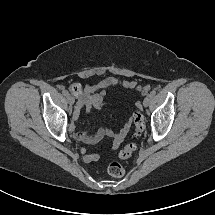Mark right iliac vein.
I'll list each match as a JSON object with an SVG mask.
<instances>
[{
	"mask_svg": "<svg viewBox=\"0 0 215 215\" xmlns=\"http://www.w3.org/2000/svg\"><path fill=\"white\" fill-rule=\"evenodd\" d=\"M67 100H68V103H69L70 105H73L74 102H75V100H74V98H73L72 96H68V97H67Z\"/></svg>",
	"mask_w": 215,
	"mask_h": 215,
	"instance_id": "obj_1",
	"label": "right iliac vein"
}]
</instances>
